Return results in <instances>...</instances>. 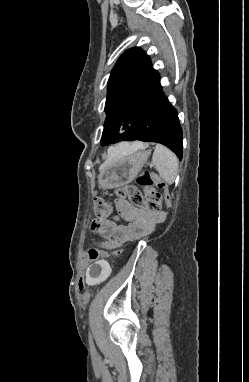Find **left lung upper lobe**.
<instances>
[{"instance_id": "obj_1", "label": "left lung upper lobe", "mask_w": 249, "mask_h": 382, "mask_svg": "<svg viewBox=\"0 0 249 382\" xmlns=\"http://www.w3.org/2000/svg\"><path fill=\"white\" fill-rule=\"evenodd\" d=\"M161 89L160 76L149 56L135 47L118 59L108 80L106 117L101 138L109 145L118 136L119 127L128 130L143 115Z\"/></svg>"}]
</instances>
